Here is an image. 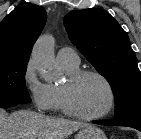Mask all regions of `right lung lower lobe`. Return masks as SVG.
I'll return each mask as SVG.
<instances>
[{
  "instance_id": "obj_1",
  "label": "right lung lower lobe",
  "mask_w": 141,
  "mask_h": 139,
  "mask_svg": "<svg viewBox=\"0 0 141 139\" xmlns=\"http://www.w3.org/2000/svg\"><path fill=\"white\" fill-rule=\"evenodd\" d=\"M17 105V104H15ZM15 105H11V106H15ZM11 106H3V107H0V108H8V107H11Z\"/></svg>"
}]
</instances>
